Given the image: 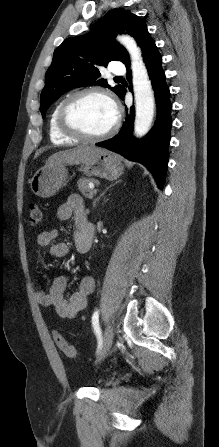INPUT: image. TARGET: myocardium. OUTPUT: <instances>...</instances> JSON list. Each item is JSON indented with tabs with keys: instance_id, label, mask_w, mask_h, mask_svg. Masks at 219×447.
Instances as JSON below:
<instances>
[{
	"instance_id": "myocardium-1",
	"label": "myocardium",
	"mask_w": 219,
	"mask_h": 447,
	"mask_svg": "<svg viewBox=\"0 0 219 447\" xmlns=\"http://www.w3.org/2000/svg\"><path fill=\"white\" fill-rule=\"evenodd\" d=\"M90 95L102 97L103 99L107 100L115 110V120L112 126L101 134L93 135L86 133L79 127L75 126L70 120V112L75 104L83 97ZM57 124L59 129L70 137L87 142H95L109 138L117 131L120 125V114L114 100L107 92L99 88H87L73 93L62 102L57 115Z\"/></svg>"
}]
</instances>
